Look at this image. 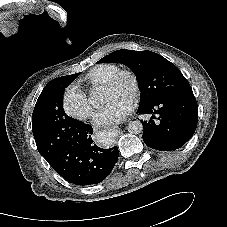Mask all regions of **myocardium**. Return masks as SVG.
<instances>
[{"instance_id":"1","label":"myocardium","mask_w":227,"mask_h":227,"mask_svg":"<svg viewBox=\"0 0 227 227\" xmlns=\"http://www.w3.org/2000/svg\"><path fill=\"white\" fill-rule=\"evenodd\" d=\"M123 80L129 81L131 86L130 99L135 102L140 94V80L136 72L131 69H120L104 84V88L116 87Z\"/></svg>"}]
</instances>
